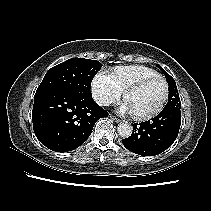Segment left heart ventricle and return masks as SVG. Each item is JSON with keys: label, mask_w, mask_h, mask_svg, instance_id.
<instances>
[{"label": "left heart ventricle", "mask_w": 211, "mask_h": 211, "mask_svg": "<svg viewBox=\"0 0 211 211\" xmlns=\"http://www.w3.org/2000/svg\"><path fill=\"white\" fill-rule=\"evenodd\" d=\"M164 95V83L156 80L137 91L129 93L125 100L129 104L132 113L147 114L160 105Z\"/></svg>", "instance_id": "obj_1"}]
</instances>
